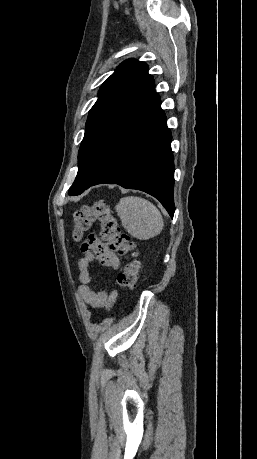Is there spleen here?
I'll return each mask as SVG.
<instances>
[{
  "label": "spleen",
  "mask_w": 257,
  "mask_h": 459,
  "mask_svg": "<svg viewBox=\"0 0 257 459\" xmlns=\"http://www.w3.org/2000/svg\"><path fill=\"white\" fill-rule=\"evenodd\" d=\"M115 208L122 226L134 238L147 240L160 234L163 229L164 221L160 211L144 198L123 197Z\"/></svg>",
  "instance_id": "1"
}]
</instances>
